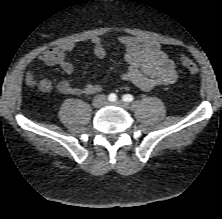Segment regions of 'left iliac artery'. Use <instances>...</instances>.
<instances>
[{
  "label": "left iliac artery",
  "mask_w": 222,
  "mask_h": 219,
  "mask_svg": "<svg viewBox=\"0 0 222 219\" xmlns=\"http://www.w3.org/2000/svg\"><path fill=\"white\" fill-rule=\"evenodd\" d=\"M133 99H134L133 96L130 94H126L122 97V100L125 102H131V101H133Z\"/></svg>",
  "instance_id": "left-iliac-artery-1"
}]
</instances>
